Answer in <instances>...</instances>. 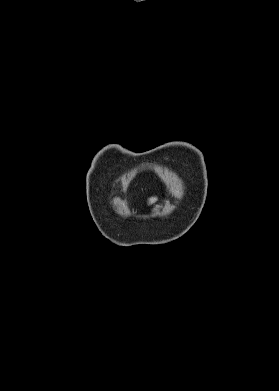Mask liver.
<instances>
[{
	"label": "liver",
	"mask_w": 279,
	"mask_h": 391,
	"mask_svg": "<svg viewBox=\"0 0 279 391\" xmlns=\"http://www.w3.org/2000/svg\"><path fill=\"white\" fill-rule=\"evenodd\" d=\"M156 200H157V198H155V197L150 198L149 199V204L154 203Z\"/></svg>",
	"instance_id": "obj_1"
}]
</instances>
